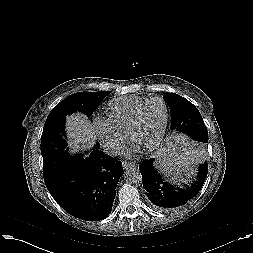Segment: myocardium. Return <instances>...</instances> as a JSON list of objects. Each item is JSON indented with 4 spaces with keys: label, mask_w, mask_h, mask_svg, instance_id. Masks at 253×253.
Here are the masks:
<instances>
[{
    "label": "myocardium",
    "mask_w": 253,
    "mask_h": 253,
    "mask_svg": "<svg viewBox=\"0 0 253 253\" xmlns=\"http://www.w3.org/2000/svg\"><path fill=\"white\" fill-rule=\"evenodd\" d=\"M153 101H160V102L163 103V105L165 107V119H164L162 129H161L160 133L158 134L157 138L153 141L152 144H150L149 146H147L145 148L147 151H152V150L156 149L161 144V142H162V140L165 136V133H166V130H167V127H168V123H169V105H168V102L162 97L148 98L146 101H144L141 105L138 106V108L134 112V114H133V116L130 120V123L127 127V130H126V136H127V138L130 139L135 127L138 124V121H139V118H140V115H141L143 109L149 103H151Z\"/></svg>",
    "instance_id": "1"
}]
</instances>
